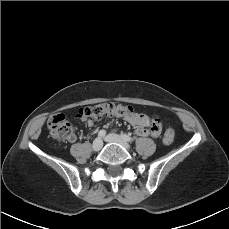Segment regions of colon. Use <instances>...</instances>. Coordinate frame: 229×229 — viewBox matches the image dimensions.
Segmentation results:
<instances>
[{
    "instance_id": "obj_1",
    "label": "colon",
    "mask_w": 229,
    "mask_h": 229,
    "mask_svg": "<svg viewBox=\"0 0 229 229\" xmlns=\"http://www.w3.org/2000/svg\"><path fill=\"white\" fill-rule=\"evenodd\" d=\"M135 109L129 104H118L113 102L101 103L92 106L83 107L79 110V117L82 119L98 120L104 116L113 114L117 115H133ZM155 123H159V119H154ZM48 129L51 137L55 140H67L73 137V127L62 113H54L48 120ZM175 139L173 129H167L163 136V141L170 144Z\"/></svg>"
}]
</instances>
